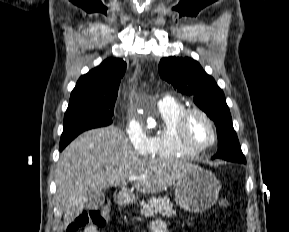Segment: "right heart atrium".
<instances>
[{
  "mask_svg": "<svg viewBox=\"0 0 289 232\" xmlns=\"http://www.w3.org/2000/svg\"><path fill=\"white\" fill-rule=\"evenodd\" d=\"M124 132L130 146L136 153L140 155L150 153V137L145 133L137 118L133 116L127 118Z\"/></svg>",
  "mask_w": 289,
  "mask_h": 232,
  "instance_id": "d8ad5b80",
  "label": "right heart atrium"
}]
</instances>
